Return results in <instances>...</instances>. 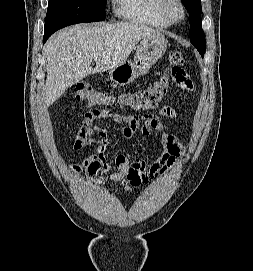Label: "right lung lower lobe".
<instances>
[{"instance_id":"right-lung-lower-lobe-1","label":"right lung lower lobe","mask_w":253,"mask_h":271,"mask_svg":"<svg viewBox=\"0 0 253 271\" xmlns=\"http://www.w3.org/2000/svg\"><path fill=\"white\" fill-rule=\"evenodd\" d=\"M51 34H44L43 43L50 37Z\"/></svg>"}]
</instances>
